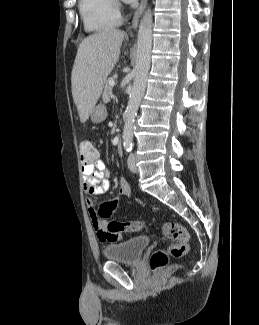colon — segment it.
I'll return each mask as SVG.
<instances>
[{
	"instance_id": "5ec220e1",
	"label": "colon",
	"mask_w": 259,
	"mask_h": 325,
	"mask_svg": "<svg viewBox=\"0 0 259 325\" xmlns=\"http://www.w3.org/2000/svg\"><path fill=\"white\" fill-rule=\"evenodd\" d=\"M97 154V150L88 140L79 144V158L82 163L92 162ZM117 201H107L101 204L97 215L100 218H108L117 209ZM139 221H111L107 225V231L110 233L139 231L142 228ZM162 231L165 237L173 241L170 246L155 251L150 258V265L153 270L165 266L170 257H182L189 250L190 236L188 231L177 222H166Z\"/></svg>"
}]
</instances>
